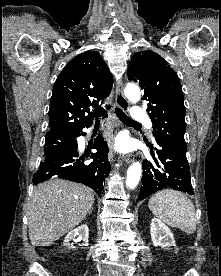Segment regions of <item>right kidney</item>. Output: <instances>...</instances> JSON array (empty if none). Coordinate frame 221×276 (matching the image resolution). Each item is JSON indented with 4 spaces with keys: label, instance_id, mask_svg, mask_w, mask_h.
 Returning <instances> with one entry per match:
<instances>
[{
    "label": "right kidney",
    "instance_id": "obj_1",
    "mask_svg": "<svg viewBox=\"0 0 221 276\" xmlns=\"http://www.w3.org/2000/svg\"><path fill=\"white\" fill-rule=\"evenodd\" d=\"M89 238V228L86 224L79 226L78 228L70 231L65 239L63 245L70 248H75L70 242L74 240L75 242L83 241V246H88Z\"/></svg>",
    "mask_w": 221,
    "mask_h": 276
}]
</instances>
